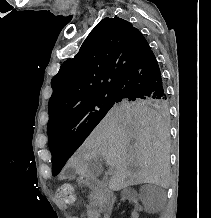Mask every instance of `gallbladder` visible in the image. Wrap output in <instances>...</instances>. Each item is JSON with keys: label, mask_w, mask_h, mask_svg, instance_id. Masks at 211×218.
<instances>
[{"label": "gallbladder", "mask_w": 211, "mask_h": 218, "mask_svg": "<svg viewBox=\"0 0 211 218\" xmlns=\"http://www.w3.org/2000/svg\"><path fill=\"white\" fill-rule=\"evenodd\" d=\"M88 172L90 176H94V178H98V176H101L103 174L104 168L99 158H96V160H91V162H89Z\"/></svg>", "instance_id": "bac80fb5"}]
</instances>
